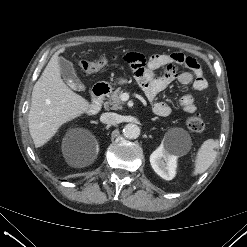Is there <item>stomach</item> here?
<instances>
[{"mask_svg": "<svg viewBox=\"0 0 247 247\" xmlns=\"http://www.w3.org/2000/svg\"><path fill=\"white\" fill-rule=\"evenodd\" d=\"M118 85H123V84H126L128 83V79L125 78V77H120L117 79V82H116Z\"/></svg>", "mask_w": 247, "mask_h": 247, "instance_id": "obj_1", "label": "stomach"}]
</instances>
